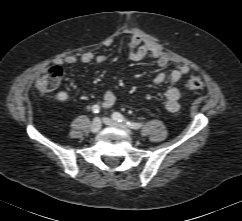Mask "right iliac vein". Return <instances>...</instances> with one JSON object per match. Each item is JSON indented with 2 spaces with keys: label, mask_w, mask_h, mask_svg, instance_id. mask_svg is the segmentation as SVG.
I'll return each mask as SVG.
<instances>
[{
  "label": "right iliac vein",
  "mask_w": 242,
  "mask_h": 221,
  "mask_svg": "<svg viewBox=\"0 0 242 221\" xmlns=\"http://www.w3.org/2000/svg\"><path fill=\"white\" fill-rule=\"evenodd\" d=\"M101 121H100V119L99 118H95L94 120H93V122L91 123V127H90V129H91V132L92 133H98L99 131H100V129H101Z\"/></svg>",
  "instance_id": "obj_1"
}]
</instances>
